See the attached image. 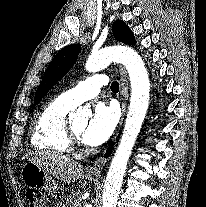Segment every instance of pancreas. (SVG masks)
Wrapping results in <instances>:
<instances>
[{"mask_svg":"<svg viewBox=\"0 0 206 207\" xmlns=\"http://www.w3.org/2000/svg\"><path fill=\"white\" fill-rule=\"evenodd\" d=\"M81 195L80 191L72 192L66 199L67 204L69 207H81ZM56 207H67L64 204H57Z\"/></svg>","mask_w":206,"mask_h":207,"instance_id":"obj_1","label":"pancreas"}]
</instances>
